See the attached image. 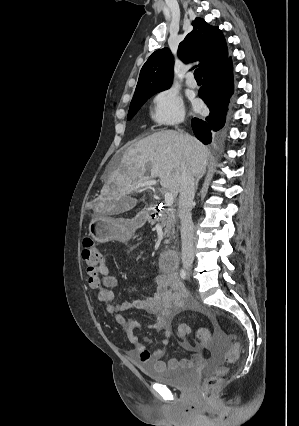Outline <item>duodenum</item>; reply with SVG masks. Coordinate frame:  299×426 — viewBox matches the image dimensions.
Masks as SVG:
<instances>
[{"instance_id":"obj_1","label":"duodenum","mask_w":299,"mask_h":426,"mask_svg":"<svg viewBox=\"0 0 299 426\" xmlns=\"http://www.w3.org/2000/svg\"><path fill=\"white\" fill-rule=\"evenodd\" d=\"M178 253L173 249H168L161 253L159 257V265L163 269L174 268L178 264Z\"/></svg>"}]
</instances>
